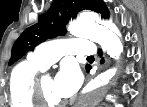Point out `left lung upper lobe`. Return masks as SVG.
Segmentation results:
<instances>
[{"mask_svg":"<svg viewBox=\"0 0 147 107\" xmlns=\"http://www.w3.org/2000/svg\"><path fill=\"white\" fill-rule=\"evenodd\" d=\"M92 10L109 18L110 12L103 0H54L51 8L38 22L25 29L15 41L9 65L23 57L47 39L66 33V24L82 10ZM90 65H86L88 68Z\"/></svg>","mask_w":147,"mask_h":107,"instance_id":"1","label":"left lung upper lobe"}]
</instances>
